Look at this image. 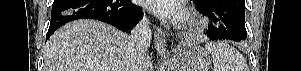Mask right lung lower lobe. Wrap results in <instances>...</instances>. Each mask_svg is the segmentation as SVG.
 <instances>
[{"label":"right lung lower lobe","mask_w":301,"mask_h":71,"mask_svg":"<svg viewBox=\"0 0 301 71\" xmlns=\"http://www.w3.org/2000/svg\"><path fill=\"white\" fill-rule=\"evenodd\" d=\"M142 17V8L131 0H54L46 40L60 26L76 19L100 20L125 32Z\"/></svg>","instance_id":"1"}]
</instances>
